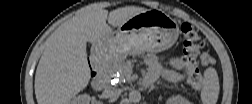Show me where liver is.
I'll return each mask as SVG.
<instances>
[{
    "mask_svg": "<svg viewBox=\"0 0 252 104\" xmlns=\"http://www.w3.org/2000/svg\"><path fill=\"white\" fill-rule=\"evenodd\" d=\"M145 11L142 7L127 6L108 12L93 5L59 26L47 39L36 69L37 102L66 104L85 89L90 80L87 42H98L113 33L112 27H120Z\"/></svg>",
    "mask_w": 252,
    "mask_h": 104,
    "instance_id": "6515ba94",
    "label": "liver"
}]
</instances>
